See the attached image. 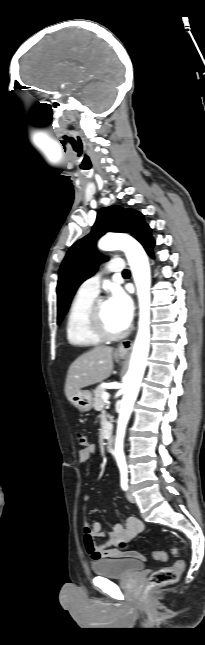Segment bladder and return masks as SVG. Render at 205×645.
<instances>
[{
    "instance_id": "obj_1",
    "label": "bladder",
    "mask_w": 205,
    "mask_h": 645,
    "mask_svg": "<svg viewBox=\"0 0 205 645\" xmlns=\"http://www.w3.org/2000/svg\"><path fill=\"white\" fill-rule=\"evenodd\" d=\"M145 564L140 559L135 558H116L103 559L92 564V570L95 574L107 577L127 578L140 571Z\"/></svg>"
}]
</instances>
